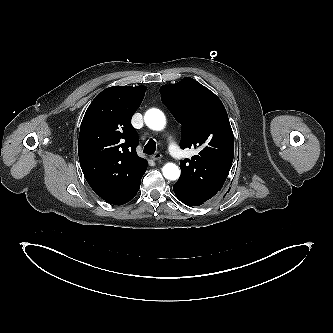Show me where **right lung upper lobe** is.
Returning a JSON list of instances; mask_svg holds the SVG:
<instances>
[{
  "label": "right lung upper lobe",
  "mask_w": 333,
  "mask_h": 333,
  "mask_svg": "<svg viewBox=\"0 0 333 333\" xmlns=\"http://www.w3.org/2000/svg\"><path fill=\"white\" fill-rule=\"evenodd\" d=\"M145 91V86L109 87L92 101L81 123L78 154L83 174L110 204L134 198L147 168L136 153L138 135L131 125Z\"/></svg>",
  "instance_id": "obj_1"
}]
</instances>
